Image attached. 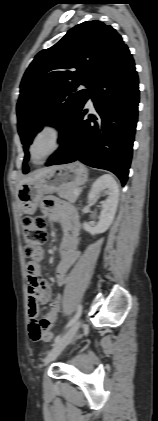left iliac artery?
Returning a JSON list of instances; mask_svg holds the SVG:
<instances>
[{
    "mask_svg": "<svg viewBox=\"0 0 158 421\" xmlns=\"http://www.w3.org/2000/svg\"><path fill=\"white\" fill-rule=\"evenodd\" d=\"M82 313V306L78 305L76 314L74 315V317L66 324L65 329L70 327L75 321H77L79 319V317L81 316ZM61 338V334L57 335L54 339V343H57Z\"/></svg>",
    "mask_w": 158,
    "mask_h": 421,
    "instance_id": "44dca946",
    "label": "left iliac artery"
}]
</instances>
